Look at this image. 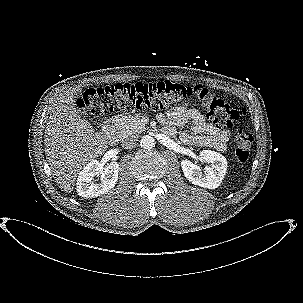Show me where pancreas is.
Wrapping results in <instances>:
<instances>
[{
	"mask_svg": "<svg viewBox=\"0 0 303 303\" xmlns=\"http://www.w3.org/2000/svg\"><path fill=\"white\" fill-rule=\"evenodd\" d=\"M114 125L119 137L146 130L145 124L140 118L135 116H120L116 119Z\"/></svg>",
	"mask_w": 303,
	"mask_h": 303,
	"instance_id": "cf45deb5",
	"label": "pancreas"
}]
</instances>
